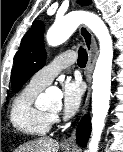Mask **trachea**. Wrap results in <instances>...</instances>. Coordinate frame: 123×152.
I'll return each mask as SVG.
<instances>
[{
  "mask_svg": "<svg viewBox=\"0 0 123 152\" xmlns=\"http://www.w3.org/2000/svg\"><path fill=\"white\" fill-rule=\"evenodd\" d=\"M78 54H79L78 55V61H77L78 65L80 67H84L86 65L87 59H88L86 50L83 49V48H80L79 51H78Z\"/></svg>",
  "mask_w": 123,
  "mask_h": 152,
  "instance_id": "3493384b",
  "label": "trachea"
}]
</instances>
